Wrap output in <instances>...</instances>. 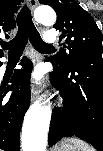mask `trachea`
Here are the masks:
<instances>
[{
	"label": "trachea",
	"mask_w": 103,
	"mask_h": 151,
	"mask_svg": "<svg viewBox=\"0 0 103 151\" xmlns=\"http://www.w3.org/2000/svg\"><path fill=\"white\" fill-rule=\"evenodd\" d=\"M18 33L14 39L3 44L5 50H9L10 55L22 54L24 47L28 40L39 52H45L52 48L51 45L46 44L40 37L39 32L35 28L30 10L24 6L17 17Z\"/></svg>",
	"instance_id": "1"
}]
</instances>
